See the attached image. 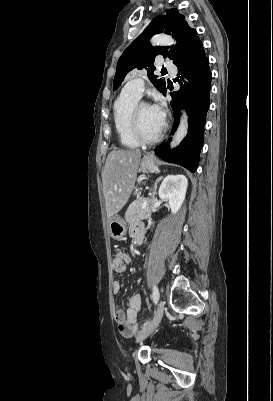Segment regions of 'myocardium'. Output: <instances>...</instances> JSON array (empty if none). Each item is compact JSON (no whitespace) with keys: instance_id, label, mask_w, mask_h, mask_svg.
Returning <instances> with one entry per match:
<instances>
[{"instance_id":"f54148a6","label":"myocardium","mask_w":273,"mask_h":401,"mask_svg":"<svg viewBox=\"0 0 273 401\" xmlns=\"http://www.w3.org/2000/svg\"><path fill=\"white\" fill-rule=\"evenodd\" d=\"M141 106H148L146 103L144 102H138L137 104H135L131 110L130 113V119H129V129H130V133L131 135L140 143L142 144H154L156 142H158L164 135V132L166 130V127L163 126L162 129L160 130V132H158L156 135L154 136H146L140 129L139 126V122L137 119V113L138 110Z\"/></svg>"}]
</instances>
